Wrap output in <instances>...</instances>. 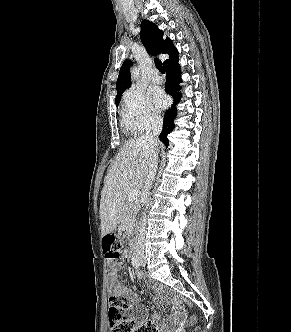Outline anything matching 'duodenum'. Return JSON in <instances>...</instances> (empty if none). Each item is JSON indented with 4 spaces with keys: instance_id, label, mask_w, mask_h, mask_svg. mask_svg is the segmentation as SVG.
<instances>
[{
    "instance_id": "410a0bca",
    "label": "duodenum",
    "mask_w": 291,
    "mask_h": 332,
    "mask_svg": "<svg viewBox=\"0 0 291 332\" xmlns=\"http://www.w3.org/2000/svg\"><path fill=\"white\" fill-rule=\"evenodd\" d=\"M135 246H136V243L134 241H132L131 248H130V251H129V256L130 257H133L134 254H135Z\"/></svg>"
}]
</instances>
